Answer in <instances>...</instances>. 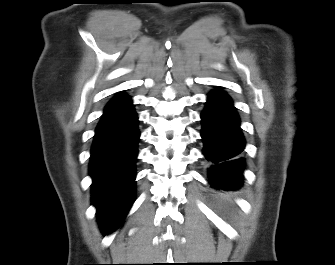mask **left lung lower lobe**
Wrapping results in <instances>:
<instances>
[{
  "instance_id": "1",
  "label": "left lung lower lobe",
  "mask_w": 335,
  "mask_h": 265,
  "mask_svg": "<svg viewBox=\"0 0 335 265\" xmlns=\"http://www.w3.org/2000/svg\"><path fill=\"white\" fill-rule=\"evenodd\" d=\"M201 118L203 154L211 163L208 168L210 184L219 191L240 188L245 162L241 153L245 141L231 98L221 90H213Z\"/></svg>"
}]
</instances>
